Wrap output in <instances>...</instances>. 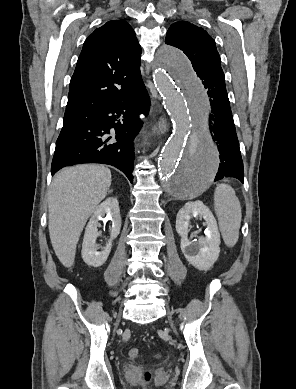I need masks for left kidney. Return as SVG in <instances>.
<instances>
[{
  "instance_id": "left-kidney-1",
  "label": "left kidney",
  "mask_w": 296,
  "mask_h": 389,
  "mask_svg": "<svg viewBox=\"0 0 296 389\" xmlns=\"http://www.w3.org/2000/svg\"><path fill=\"white\" fill-rule=\"evenodd\" d=\"M202 217L207 228L205 237L189 241L188 226L193 217ZM176 231L181 236V250L186 260L195 268L207 271L217 261L220 253V234L217 222L207 206L201 201L186 203L176 217Z\"/></svg>"
}]
</instances>
